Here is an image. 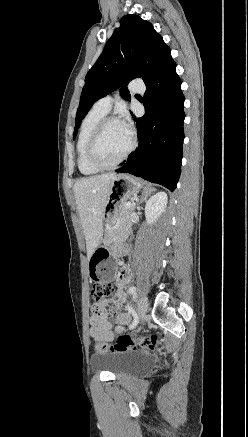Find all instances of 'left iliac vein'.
<instances>
[{
    "instance_id": "obj_1",
    "label": "left iliac vein",
    "mask_w": 248,
    "mask_h": 437,
    "mask_svg": "<svg viewBox=\"0 0 248 437\" xmlns=\"http://www.w3.org/2000/svg\"><path fill=\"white\" fill-rule=\"evenodd\" d=\"M148 305H149V302H148L147 296L144 294L141 295L139 297V300H138V308H137V312H138L140 321H143L145 319Z\"/></svg>"
}]
</instances>
